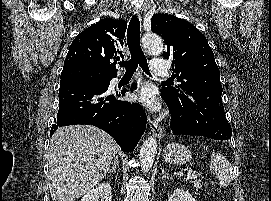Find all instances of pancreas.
Wrapping results in <instances>:
<instances>
[{"instance_id": "1", "label": "pancreas", "mask_w": 271, "mask_h": 201, "mask_svg": "<svg viewBox=\"0 0 271 201\" xmlns=\"http://www.w3.org/2000/svg\"><path fill=\"white\" fill-rule=\"evenodd\" d=\"M193 186L198 190L201 189V182L200 181H193Z\"/></svg>"}]
</instances>
